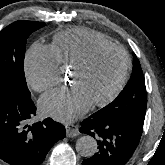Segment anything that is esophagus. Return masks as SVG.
Wrapping results in <instances>:
<instances>
[{
	"label": "esophagus",
	"mask_w": 165,
	"mask_h": 165,
	"mask_svg": "<svg viewBox=\"0 0 165 165\" xmlns=\"http://www.w3.org/2000/svg\"><path fill=\"white\" fill-rule=\"evenodd\" d=\"M65 129H66V135L68 137H75V136L79 135V130L76 125L66 124Z\"/></svg>",
	"instance_id": "1"
}]
</instances>
